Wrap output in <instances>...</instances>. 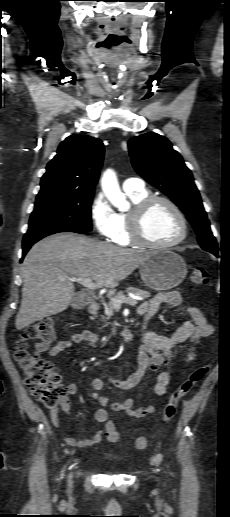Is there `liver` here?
<instances>
[{"instance_id":"1","label":"liver","mask_w":230,"mask_h":517,"mask_svg":"<svg viewBox=\"0 0 230 517\" xmlns=\"http://www.w3.org/2000/svg\"><path fill=\"white\" fill-rule=\"evenodd\" d=\"M150 254L73 233L44 238L23 261L22 301L16 329L67 309L74 297L72 277L92 278L98 287L115 288Z\"/></svg>"}]
</instances>
